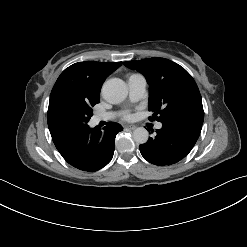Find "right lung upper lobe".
<instances>
[{
	"label": "right lung upper lobe",
	"instance_id": "right-lung-upper-lobe-1",
	"mask_svg": "<svg viewBox=\"0 0 247 247\" xmlns=\"http://www.w3.org/2000/svg\"><path fill=\"white\" fill-rule=\"evenodd\" d=\"M122 62H78L66 68L58 77L50 95L49 108L64 96L99 101L100 90L105 79ZM61 137H52L56 141Z\"/></svg>",
	"mask_w": 247,
	"mask_h": 247
}]
</instances>
